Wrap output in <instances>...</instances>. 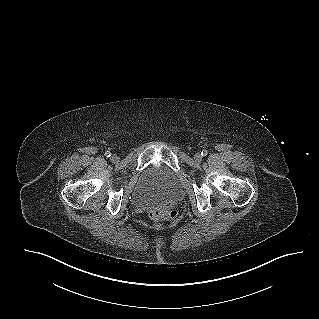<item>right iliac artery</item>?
<instances>
[{
    "instance_id": "right-iliac-artery-1",
    "label": "right iliac artery",
    "mask_w": 319,
    "mask_h": 319,
    "mask_svg": "<svg viewBox=\"0 0 319 319\" xmlns=\"http://www.w3.org/2000/svg\"><path fill=\"white\" fill-rule=\"evenodd\" d=\"M105 156H106V157H110V156H111V153H110L109 151H106V152H105Z\"/></svg>"
}]
</instances>
